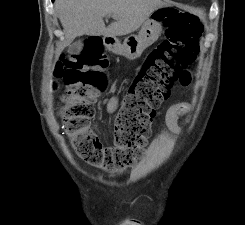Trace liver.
Masks as SVG:
<instances>
[{
    "label": "liver",
    "mask_w": 245,
    "mask_h": 225,
    "mask_svg": "<svg viewBox=\"0 0 245 225\" xmlns=\"http://www.w3.org/2000/svg\"><path fill=\"white\" fill-rule=\"evenodd\" d=\"M165 3L162 0H56L55 11L64 28L66 47L82 35L116 37L140 28L150 15ZM114 15L105 26L103 18Z\"/></svg>",
    "instance_id": "liver-1"
}]
</instances>
